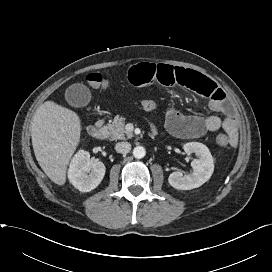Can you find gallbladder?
<instances>
[{"instance_id": "gallbladder-1", "label": "gallbladder", "mask_w": 272, "mask_h": 272, "mask_svg": "<svg viewBox=\"0 0 272 272\" xmlns=\"http://www.w3.org/2000/svg\"><path fill=\"white\" fill-rule=\"evenodd\" d=\"M65 98L69 105L73 107H83L90 102L91 93L87 86L83 84H73L66 89Z\"/></svg>"}]
</instances>
